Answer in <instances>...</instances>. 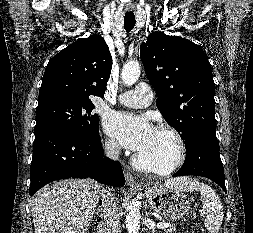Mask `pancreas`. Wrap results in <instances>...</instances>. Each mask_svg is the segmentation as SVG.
Masks as SVG:
<instances>
[{"mask_svg": "<svg viewBox=\"0 0 253 233\" xmlns=\"http://www.w3.org/2000/svg\"><path fill=\"white\" fill-rule=\"evenodd\" d=\"M176 230V227L175 226H170L168 227L167 229H165V233H172Z\"/></svg>", "mask_w": 253, "mask_h": 233, "instance_id": "1", "label": "pancreas"}]
</instances>
